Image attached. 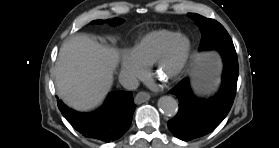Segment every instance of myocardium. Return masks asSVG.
<instances>
[{
	"instance_id": "f54148a6",
	"label": "myocardium",
	"mask_w": 279,
	"mask_h": 148,
	"mask_svg": "<svg viewBox=\"0 0 279 148\" xmlns=\"http://www.w3.org/2000/svg\"><path fill=\"white\" fill-rule=\"evenodd\" d=\"M192 43L184 34H175L155 62V75L174 82L184 73L191 56Z\"/></svg>"
}]
</instances>
